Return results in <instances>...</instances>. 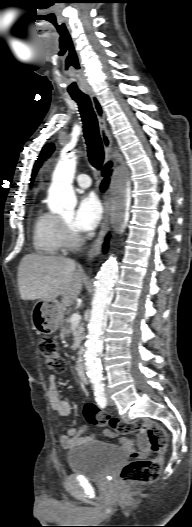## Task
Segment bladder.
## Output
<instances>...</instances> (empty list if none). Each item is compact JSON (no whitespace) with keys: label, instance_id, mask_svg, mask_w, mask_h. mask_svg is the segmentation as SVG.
<instances>
[{"label":"bladder","instance_id":"obj_1","mask_svg":"<svg viewBox=\"0 0 192 527\" xmlns=\"http://www.w3.org/2000/svg\"><path fill=\"white\" fill-rule=\"evenodd\" d=\"M127 458L125 451L115 445L91 441L69 454L71 471L89 480L104 479Z\"/></svg>","mask_w":192,"mask_h":527}]
</instances>
